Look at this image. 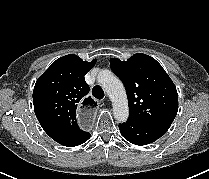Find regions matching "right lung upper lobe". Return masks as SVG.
Wrapping results in <instances>:
<instances>
[{
  "label": "right lung upper lobe",
  "instance_id": "obj_1",
  "mask_svg": "<svg viewBox=\"0 0 209 179\" xmlns=\"http://www.w3.org/2000/svg\"><path fill=\"white\" fill-rule=\"evenodd\" d=\"M96 63L83 61L75 54L57 59L38 78L33 91L35 115L53 140L66 145L84 131L78 126L76 110L93 108L84 75Z\"/></svg>",
  "mask_w": 209,
  "mask_h": 179
}]
</instances>
